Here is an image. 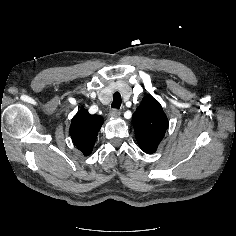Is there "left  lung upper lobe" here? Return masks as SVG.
<instances>
[{
    "mask_svg": "<svg viewBox=\"0 0 236 236\" xmlns=\"http://www.w3.org/2000/svg\"><path fill=\"white\" fill-rule=\"evenodd\" d=\"M133 126L140 148L152 154L165 136L168 120L162 106L151 95L143 98L133 114Z\"/></svg>",
    "mask_w": 236,
    "mask_h": 236,
    "instance_id": "1",
    "label": "left lung upper lobe"
}]
</instances>
